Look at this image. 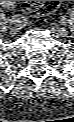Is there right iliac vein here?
<instances>
[{
    "instance_id": "right-iliac-vein-1",
    "label": "right iliac vein",
    "mask_w": 74,
    "mask_h": 122,
    "mask_svg": "<svg viewBox=\"0 0 74 122\" xmlns=\"http://www.w3.org/2000/svg\"><path fill=\"white\" fill-rule=\"evenodd\" d=\"M12 32H13L14 34H16V33L18 32V28H17L16 25H14V27L12 28Z\"/></svg>"
}]
</instances>
